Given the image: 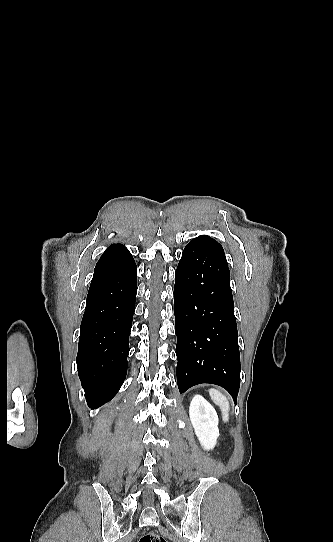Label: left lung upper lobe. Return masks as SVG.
I'll list each match as a JSON object with an SVG mask.
<instances>
[{"label":"left lung upper lobe","instance_id":"left-lung-upper-lobe-1","mask_svg":"<svg viewBox=\"0 0 333 542\" xmlns=\"http://www.w3.org/2000/svg\"><path fill=\"white\" fill-rule=\"evenodd\" d=\"M199 238L205 239L207 241H210V242L216 244L219 247H222L217 241H215L214 239H212V238H210L208 236L202 235V236H199Z\"/></svg>","mask_w":333,"mask_h":542}]
</instances>
